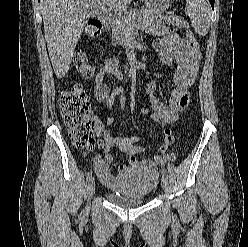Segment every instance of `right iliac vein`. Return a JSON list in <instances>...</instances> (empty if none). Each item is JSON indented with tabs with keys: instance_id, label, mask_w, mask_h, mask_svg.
<instances>
[{
	"instance_id": "right-iliac-vein-1",
	"label": "right iliac vein",
	"mask_w": 248,
	"mask_h": 247,
	"mask_svg": "<svg viewBox=\"0 0 248 247\" xmlns=\"http://www.w3.org/2000/svg\"><path fill=\"white\" fill-rule=\"evenodd\" d=\"M94 192H95V180L94 178H91L90 182L88 183V187H87L88 200H90Z\"/></svg>"
}]
</instances>
